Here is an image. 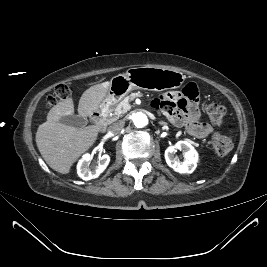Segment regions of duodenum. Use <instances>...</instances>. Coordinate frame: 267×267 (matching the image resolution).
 <instances>
[{
  "label": "duodenum",
  "mask_w": 267,
  "mask_h": 267,
  "mask_svg": "<svg viewBox=\"0 0 267 267\" xmlns=\"http://www.w3.org/2000/svg\"><path fill=\"white\" fill-rule=\"evenodd\" d=\"M107 111L104 108L95 110L92 115V121L99 127L104 128L106 125Z\"/></svg>",
  "instance_id": "410a0bca"
}]
</instances>
